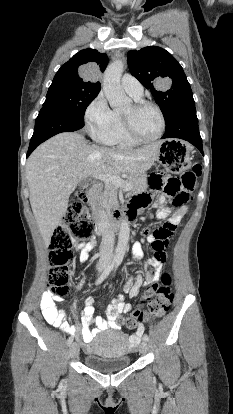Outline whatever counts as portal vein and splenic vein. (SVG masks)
Returning <instances> with one entry per match:
<instances>
[{
	"label": "portal vein and splenic vein",
	"mask_w": 233,
	"mask_h": 414,
	"mask_svg": "<svg viewBox=\"0 0 233 414\" xmlns=\"http://www.w3.org/2000/svg\"><path fill=\"white\" fill-rule=\"evenodd\" d=\"M95 178L104 181L106 184H113L116 187L123 188L124 190L128 191L132 189V184L128 183L127 181L121 179L119 176L109 175V174H102L96 176Z\"/></svg>",
	"instance_id": "18ae733b"
}]
</instances>
